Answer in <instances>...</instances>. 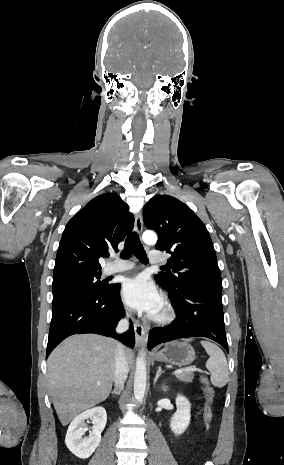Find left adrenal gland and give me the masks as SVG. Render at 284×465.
Returning <instances> with one entry per match:
<instances>
[{
    "label": "left adrenal gland",
    "instance_id": "a2214340",
    "mask_svg": "<svg viewBox=\"0 0 284 465\" xmlns=\"http://www.w3.org/2000/svg\"><path fill=\"white\" fill-rule=\"evenodd\" d=\"M161 373H162V369H161V367H158V371H157L156 377H155V379H154V385H155L156 381H158V379H159Z\"/></svg>",
    "mask_w": 284,
    "mask_h": 465
}]
</instances>
